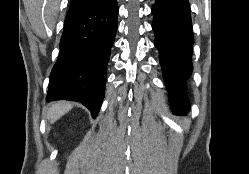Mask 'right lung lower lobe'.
Instances as JSON below:
<instances>
[{"mask_svg":"<svg viewBox=\"0 0 249 174\" xmlns=\"http://www.w3.org/2000/svg\"><path fill=\"white\" fill-rule=\"evenodd\" d=\"M118 11L116 0H102L68 12L47 101L75 100L86 106L93 118L97 116L104 98Z\"/></svg>","mask_w":249,"mask_h":174,"instance_id":"obj_1","label":"right lung lower lobe"}]
</instances>
